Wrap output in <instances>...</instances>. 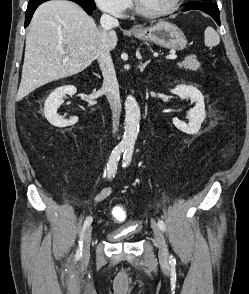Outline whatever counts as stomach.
I'll use <instances>...</instances> for the list:
<instances>
[{"instance_id":"1","label":"stomach","mask_w":249,"mask_h":294,"mask_svg":"<svg viewBox=\"0 0 249 294\" xmlns=\"http://www.w3.org/2000/svg\"><path fill=\"white\" fill-rule=\"evenodd\" d=\"M133 35L140 40L151 41L161 47L183 50L187 45L184 33L173 23L159 21L146 28L133 31Z\"/></svg>"}]
</instances>
